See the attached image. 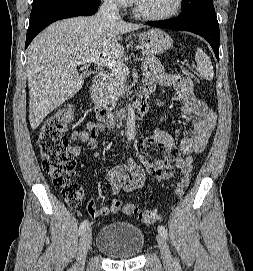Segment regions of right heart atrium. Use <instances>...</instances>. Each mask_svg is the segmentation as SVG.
Masks as SVG:
<instances>
[{"label":"right heart atrium","mask_w":253,"mask_h":271,"mask_svg":"<svg viewBox=\"0 0 253 271\" xmlns=\"http://www.w3.org/2000/svg\"><path fill=\"white\" fill-rule=\"evenodd\" d=\"M109 4L118 7V8H123L127 6L130 2V0H106Z\"/></svg>","instance_id":"1"}]
</instances>
